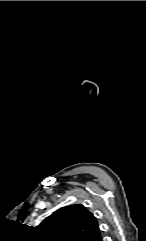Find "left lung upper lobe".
<instances>
[{"label":"left lung upper lobe","instance_id":"5c2ea615","mask_svg":"<svg viewBox=\"0 0 146 241\" xmlns=\"http://www.w3.org/2000/svg\"><path fill=\"white\" fill-rule=\"evenodd\" d=\"M36 229L42 241H87L100 231L94 215L80 204L56 210Z\"/></svg>","mask_w":146,"mask_h":241}]
</instances>
